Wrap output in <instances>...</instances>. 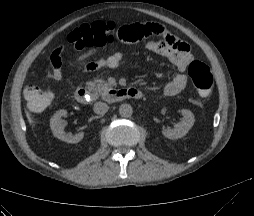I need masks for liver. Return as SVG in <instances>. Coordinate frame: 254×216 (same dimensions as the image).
<instances>
[{"instance_id": "1", "label": "liver", "mask_w": 254, "mask_h": 216, "mask_svg": "<svg viewBox=\"0 0 254 216\" xmlns=\"http://www.w3.org/2000/svg\"><path fill=\"white\" fill-rule=\"evenodd\" d=\"M27 118H28L29 123L32 124L33 120L31 119V117L29 115H27Z\"/></svg>"}]
</instances>
